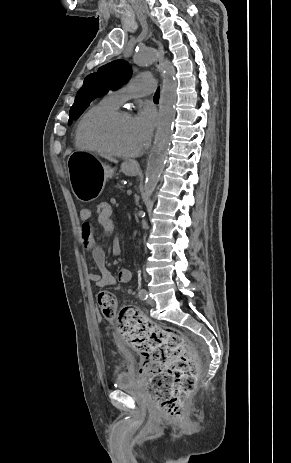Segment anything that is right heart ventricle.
Wrapping results in <instances>:
<instances>
[{
	"label": "right heart ventricle",
	"instance_id": "right-heart-ventricle-1",
	"mask_svg": "<svg viewBox=\"0 0 291 463\" xmlns=\"http://www.w3.org/2000/svg\"><path fill=\"white\" fill-rule=\"evenodd\" d=\"M117 108V105L114 104L111 99L108 97L103 98L97 103L91 105L78 119L75 129H74V141L78 148L97 151L98 149L94 147L86 138V128L91 120L94 118L109 113Z\"/></svg>",
	"mask_w": 291,
	"mask_h": 463
}]
</instances>
